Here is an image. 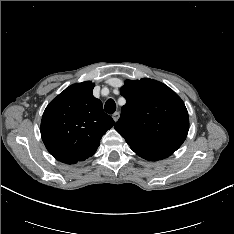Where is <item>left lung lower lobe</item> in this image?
I'll list each match as a JSON object with an SVG mask.
<instances>
[{"mask_svg": "<svg viewBox=\"0 0 234 234\" xmlns=\"http://www.w3.org/2000/svg\"><path fill=\"white\" fill-rule=\"evenodd\" d=\"M132 150L136 154H138L140 157L146 160H150V161L164 159L172 154V153L163 152V151H144V150H139V149H132Z\"/></svg>", "mask_w": 234, "mask_h": 234, "instance_id": "0a47b994", "label": "left lung lower lobe"}]
</instances>
